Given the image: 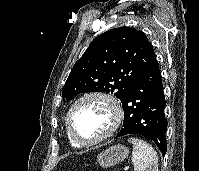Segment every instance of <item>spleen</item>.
Wrapping results in <instances>:
<instances>
[{
    "label": "spleen",
    "mask_w": 199,
    "mask_h": 171,
    "mask_svg": "<svg viewBox=\"0 0 199 171\" xmlns=\"http://www.w3.org/2000/svg\"><path fill=\"white\" fill-rule=\"evenodd\" d=\"M128 142L133 144L134 171H158V156L150 144L138 138H129Z\"/></svg>",
    "instance_id": "1"
}]
</instances>
